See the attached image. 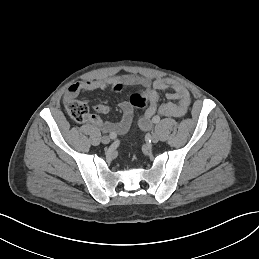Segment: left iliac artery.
Wrapping results in <instances>:
<instances>
[{
	"instance_id": "44dca946",
	"label": "left iliac artery",
	"mask_w": 259,
	"mask_h": 259,
	"mask_svg": "<svg viewBox=\"0 0 259 259\" xmlns=\"http://www.w3.org/2000/svg\"><path fill=\"white\" fill-rule=\"evenodd\" d=\"M152 122L153 123H159L160 122V117L158 116V115H156V116H154L153 118H152Z\"/></svg>"
}]
</instances>
